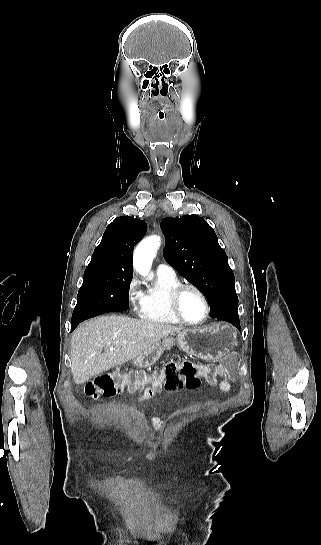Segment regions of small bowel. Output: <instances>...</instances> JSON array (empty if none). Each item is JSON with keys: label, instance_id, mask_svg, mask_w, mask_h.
<instances>
[{"label": "small bowel", "instance_id": "obj_1", "mask_svg": "<svg viewBox=\"0 0 321 545\" xmlns=\"http://www.w3.org/2000/svg\"><path fill=\"white\" fill-rule=\"evenodd\" d=\"M220 388H221L222 391L227 392V391L230 390V383L224 381V382H222V383L220 384ZM153 394H154L153 389H152V388H147V389H145V391H144V393H143V396L140 398V400L149 399V398H151V397L153 396ZM151 423H152L155 427H160V426L162 425V423L160 422V420L157 419V418L151 419Z\"/></svg>", "mask_w": 321, "mask_h": 545}]
</instances>
